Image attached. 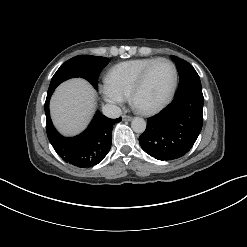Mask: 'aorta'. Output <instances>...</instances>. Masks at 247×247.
<instances>
[{"label": "aorta", "mask_w": 247, "mask_h": 247, "mask_svg": "<svg viewBox=\"0 0 247 247\" xmlns=\"http://www.w3.org/2000/svg\"><path fill=\"white\" fill-rule=\"evenodd\" d=\"M131 127L136 133H143L146 129V122L143 118L136 117L132 120Z\"/></svg>", "instance_id": "762f6f07"}]
</instances>
